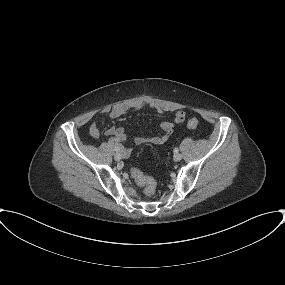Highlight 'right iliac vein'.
I'll return each instance as SVG.
<instances>
[{"instance_id": "right-iliac-vein-1", "label": "right iliac vein", "mask_w": 285, "mask_h": 285, "mask_svg": "<svg viewBox=\"0 0 285 285\" xmlns=\"http://www.w3.org/2000/svg\"><path fill=\"white\" fill-rule=\"evenodd\" d=\"M129 155L123 151H121V153H115L114 154V159L116 161H119L121 158H127Z\"/></svg>"}]
</instances>
